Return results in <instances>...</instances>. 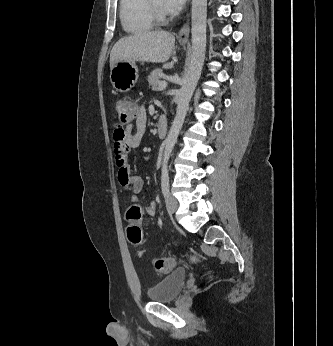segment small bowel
Returning a JSON list of instances; mask_svg holds the SVG:
<instances>
[{
  "mask_svg": "<svg viewBox=\"0 0 333 346\" xmlns=\"http://www.w3.org/2000/svg\"><path fill=\"white\" fill-rule=\"evenodd\" d=\"M146 126L147 116L145 106L141 105L138 110V116L134 122L127 124L125 127L117 126L113 131L116 163L118 166V181L125 189L132 193V205L139 202V194L143 190L144 183L139 176L131 174V166L128 162V151L139 147L146 131ZM133 128L136 129L135 132H132ZM145 210L148 215H155L157 212L156 203H149Z\"/></svg>",
  "mask_w": 333,
  "mask_h": 346,
  "instance_id": "obj_1",
  "label": "small bowel"
}]
</instances>
